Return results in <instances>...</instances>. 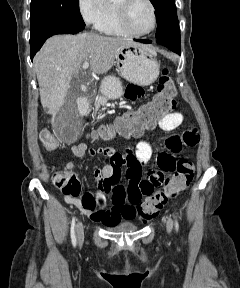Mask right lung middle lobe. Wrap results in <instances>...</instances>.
<instances>
[{
    "instance_id": "1",
    "label": "right lung middle lobe",
    "mask_w": 240,
    "mask_h": 288,
    "mask_svg": "<svg viewBox=\"0 0 240 288\" xmlns=\"http://www.w3.org/2000/svg\"><path fill=\"white\" fill-rule=\"evenodd\" d=\"M30 11V42L44 29L55 24L85 26L79 11V0H31Z\"/></svg>"
}]
</instances>
